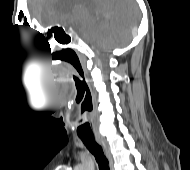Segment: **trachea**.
Listing matches in <instances>:
<instances>
[{"mask_svg": "<svg viewBox=\"0 0 190 170\" xmlns=\"http://www.w3.org/2000/svg\"><path fill=\"white\" fill-rule=\"evenodd\" d=\"M87 149L94 155L98 163L99 170H110L108 160L105 157L102 148L96 143L94 136H79Z\"/></svg>", "mask_w": 190, "mask_h": 170, "instance_id": "trachea-1", "label": "trachea"}]
</instances>
